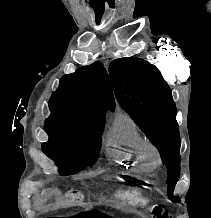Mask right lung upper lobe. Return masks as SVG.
<instances>
[{
  "mask_svg": "<svg viewBox=\"0 0 211 218\" xmlns=\"http://www.w3.org/2000/svg\"><path fill=\"white\" fill-rule=\"evenodd\" d=\"M107 107L114 110L115 102L110 80L101 62L64 75L49 100L53 117L87 122H105Z\"/></svg>",
  "mask_w": 211,
  "mask_h": 218,
  "instance_id": "1",
  "label": "right lung upper lobe"
}]
</instances>
